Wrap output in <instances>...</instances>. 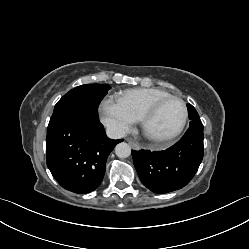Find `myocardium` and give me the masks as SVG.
<instances>
[{
	"label": "myocardium",
	"instance_id": "1",
	"mask_svg": "<svg viewBox=\"0 0 249 249\" xmlns=\"http://www.w3.org/2000/svg\"><path fill=\"white\" fill-rule=\"evenodd\" d=\"M169 100H178L179 102H181V104L183 106L184 112H183V117L181 119L180 124L172 133H170L166 136L154 137V136L149 135L146 131V128H147L149 121L154 117V115L158 112V110L162 107V105ZM187 119H188V107H187L186 102L179 96L170 95V96L164 97V98L156 101L148 109H146L140 117V123H141V128H142L144 135L150 141H152L153 143H156L158 145L164 146V145H167L168 143H170L172 140H174L182 132V130L184 129L185 124L187 122Z\"/></svg>",
	"mask_w": 249,
	"mask_h": 249
}]
</instances>
